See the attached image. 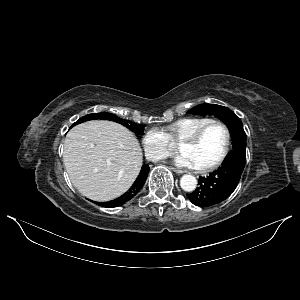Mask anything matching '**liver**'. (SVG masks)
Wrapping results in <instances>:
<instances>
[{"label":"liver","instance_id":"liver-1","mask_svg":"<svg viewBox=\"0 0 300 300\" xmlns=\"http://www.w3.org/2000/svg\"><path fill=\"white\" fill-rule=\"evenodd\" d=\"M63 162L81 194L104 202L131 187L141 170L143 155L127 128L112 121L92 120L68 132Z\"/></svg>","mask_w":300,"mask_h":300}]
</instances>
